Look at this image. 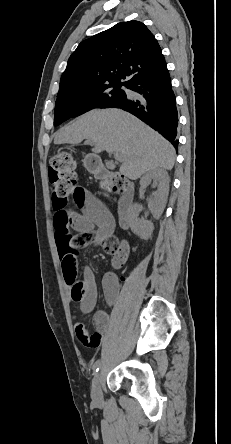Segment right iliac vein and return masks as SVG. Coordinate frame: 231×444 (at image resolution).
Returning <instances> with one entry per match:
<instances>
[{"label": "right iliac vein", "mask_w": 231, "mask_h": 444, "mask_svg": "<svg viewBox=\"0 0 231 444\" xmlns=\"http://www.w3.org/2000/svg\"><path fill=\"white\" fill-rule=\"evenodd\" d=\"M91 397L92 400L100 404L102 403L103 396L101 391V385H100V374H96L93 381H92V388H91Z\"/></svg>", "instance_id": "1"}]
</instances>
